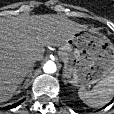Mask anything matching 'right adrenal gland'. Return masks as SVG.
Listing matches in <instances>:
<instances>
[{"label":"right adrenal gland","instance_id":"2a0ac1e0","mask_svg":"<svg viewBox=\"0 0 114 114\" xmlns=\"http://www.w3.org/2000/svg\"><path fill=\"white\" fill-rule=\"evenodd\" d=\"M32 74H33V68L30 70L29 74L27 75V79H26L25 83H28L30 81Z\"/></svg>","mask_w":114,"mask_h":114}]
</instances>
